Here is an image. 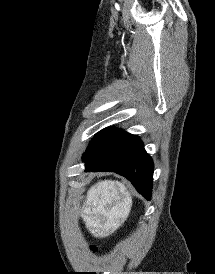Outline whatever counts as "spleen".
Returning a JSON list of instances; mask_svg holds the SVG:
<instances>
[{
	"mask_svg": "<svg viewBox=\"0 0 215 274\" xmlns=\"http://www.w3.org/2000/svg\"><path fill=\"white\" fill-rule=\"evenodd\" d=\"M88 200L93 211L88 226L99 235L109 229L114 219L126 215L132 204L125 185L114 181H103L92 187L88 192ZM101 220L105 222L102 224Z\"/></svg>",
	"mask_w": 215,
	"mask_h": 274,
	"instance_id": "1",
	"label": "spleen"
}]
</instances>
